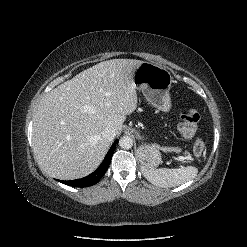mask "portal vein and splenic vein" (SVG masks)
I'll return each instance as SVG.
<instances>
[{
    "instance_id": "portal-vein-and-splenic-vein-1",
    "label": "portal vein and splenic vein",
    "mask_w": 247,
    "mask_h": 247,
    "mask_svg": "<svg viewBox=\"0 0 247 247\" xmlns=\"http://www.w3.org/2000/svg\"><path fill=\"white\" fill-rule=\"evenodd\" d=\"M177 159H178V161H180V162H185V160H186V158L183 157V156H178Z\"/></svg>"
}]
</instances>
